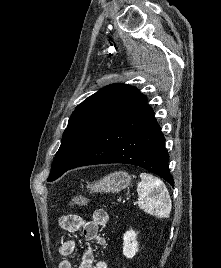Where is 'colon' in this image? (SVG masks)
I'll return each instance as SVG.
<instances>
[{"label": "colon", "instance_id": "1", "mask_svg": "<svg viewBox=\"0 0 221 268\" xmlns=\"http://www.w3.org/2000/svg\"><path fill=\"white\" fill-rule=\"evenodd\" d=\"M89 202V199L85 196H75L70 200V205L83 206Z\"/></svg>", "mask_w": 221, "mask_h": 268}]
</instances>
